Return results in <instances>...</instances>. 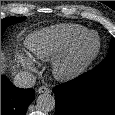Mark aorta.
Returning a JSON list of instances; mask_svg holds the SVG:
<instances>
[{
	"mask_svg": "<svg viewBox=\"0 0 115 115\" xmlns=\"http://www.w3.org/2000/svg\"><path fill=\"white\" fill-rule=\"evenodd\" d=\"M37 107L43 112H50L55 109V98L48 93H44L37 98Z\"/></svg>",
	"mask_w": 115,
	"mask_h": 115,
	"instance_id": "1",
	"label": "aorta"
}]
</instances>
